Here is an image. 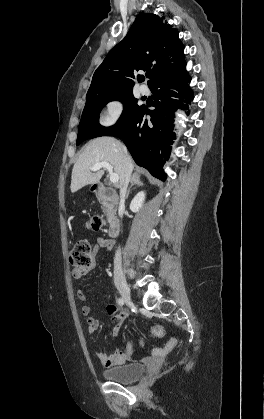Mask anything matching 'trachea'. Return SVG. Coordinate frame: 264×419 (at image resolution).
Instances as JSON below:
<instances>
[{
  "instance_id": "1",
  "label": "trachea",
  "mask_w": 264,
  "mask_h": 419,
  "mask_svg": "<svg viewBox=\"0 0 264 419\" xmlns=\"http://www.w3.org/2000/svg\"><path fill=\"white\" fill-rule=\"evenodd\" d=\"M146 76H147V77H149V76H150V74L148 73V74H146Z\"/></svg>"
}]
</instances>
